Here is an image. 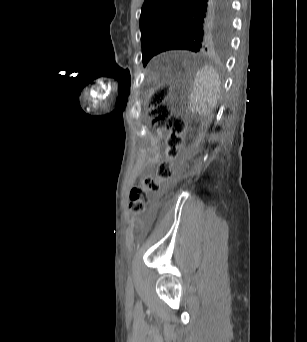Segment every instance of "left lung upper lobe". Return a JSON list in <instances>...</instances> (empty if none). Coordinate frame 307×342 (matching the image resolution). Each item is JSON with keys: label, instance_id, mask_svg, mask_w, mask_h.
Wrapping results in <instances>:
<instances>
[{"label": "left lung upper lobe", "instance_id": "left-lung-upper-lobe-1", "mask_svg": "<svg viewBox=\"0 0 307 342\" xmlns=\"http://www.w3.org/2000/svg\"><path fill=\"white\" fill-rule=\"evenodd\" d=\"M229 0H145L140 30L142 61L167 50L223 53L229 45Z\"/></svg>", "mask_w": 307, "mask_h": 342}]
</instances>
